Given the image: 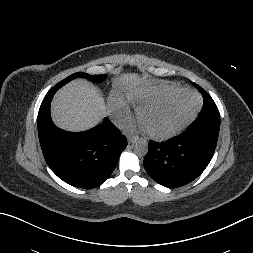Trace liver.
Listing matches in <instances>:
<instances>
[{"mask_svg": "<svg viewBox=\"0 0 253 253\" xmlns=\"http://www.w3.org/2000/svg\"><path fill=\"white\" fill-rule=\"evenodd\" d=\"M136 74H123L114 87L131 88L142 84ZM107 107L99 90L83 79H77L60 89L52 102L55 124L68 131H83L97 125L106 115Z\"/></svg>", "mask_w": 253, "mask_h": 253, "instance_id": "6515ba94", "label": "liver"}]
</instances>
